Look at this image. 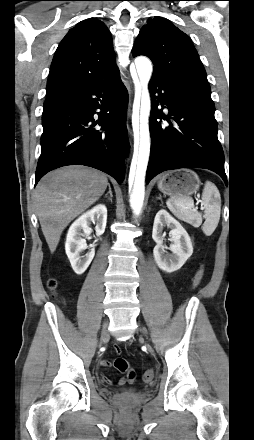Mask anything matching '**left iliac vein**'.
I'll return each instance as SVG.
<instances>
[{"label": "left iliac vein", "instance_id": "obj_1", "mask_svg": "<svg viewBox=\"0 0 254 440\" xmlns=\"http://www.w3.org/2000/svg\"><path fill=\"white\" fill-rule=\"evenodd\" d=\"M139 329H140V331H141L142 334H144V335L146 334V331H145L144 328L140 327Z\"/></svg>", "mask_w": 254, "mask_h": 440}]
</instances>
